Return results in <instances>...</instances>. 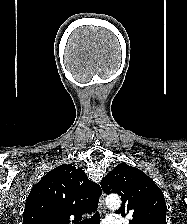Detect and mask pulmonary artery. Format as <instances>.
<instances>
[{
  "label": "pulmonary artery",
  "instance_id": "obj_1",
  "mask_svg": "<svg viewBox=\"0 0 187 224\" xmlns=\"http://www.w3.org/2000/svg\"><path fill=\"white\" fill-rule=\"evenodd\" d=\"M121 221L118 217L107 218L103 224H120Z\"/></svg>",
  "mask_w": 187,
  "mask_h": 224
}]
</instances>
